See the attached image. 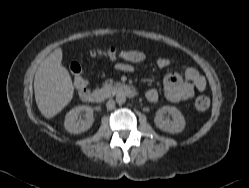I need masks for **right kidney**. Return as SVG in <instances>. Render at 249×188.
<instances>
[{
	"mask_svg": "<svg viewBox=\"0 0 249 188\" xmlns=\"http://www.w3.org/2000/svg\"><path fill=\"white\" fill-rule=\"evenodd\" d=\"M84 112V120H77L78 116ZM94 123L93 109L87 105H80L72 108L64 120L65 129L72 134H79L91 128Z\"/></svg>",
	"mask_w": 249,
	"mask_h": 188,
	"instance_id": "right-kidney-1",
	"label": "right kidney"
}]
</instances>
